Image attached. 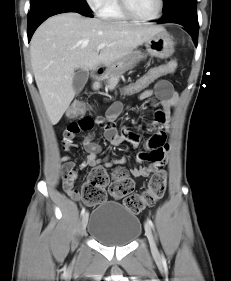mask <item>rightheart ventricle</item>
I'll list each match as a JSON object with an SVG mask.
<instances>
[{"label": "right heart ventricle", "instance_id": "obj_1", "mask_svg": "<svg viewBox=\"0 0 231 281\" xmlns=\"http://www.w3.org/2000/svg\"><path fill=\"white\" fill-rule=\"evenodd\" d=\"M100 16L108 21H126L127 17L120 9L118 0H107L105 6L100 11Z\"/></svg>", "mask_w": 231, "mask_h": 281}]
</instances>
